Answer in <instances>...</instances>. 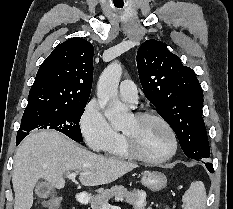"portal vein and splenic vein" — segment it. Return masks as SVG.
Here are the masks:
<instances>
[{"instance_id":"portal-vein-and-splenic-vein-1","label":"portal vein and splenic vein","mask_w":233,"mask_h":209,"mask_svg":"<svg viewBox=\"0 0 233 209\" xmlns=\"http://www.w3.org/2000/svg\"><path fill=\"white\" fill-rule=\"evenodd\" d=\"M78 174L79 172L69 173L68 178L74 180ZM116 201H122V199H116ZM103 209H110V205L108 203L104 204Z\"/></svg>"}]
</instances>
